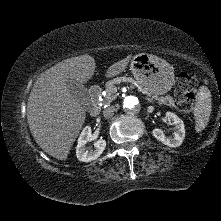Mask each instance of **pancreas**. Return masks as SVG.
<instances>
[{
	"label": "pancreas",
	"instance_id": "cf45deb5",
	"mask_svg": "<svg viewBox=\"0 0 221 221\" xmlns=\"http://www.w3.org/2000/svg\"><path fill=\"white\" fill-rule=\"evenodd\" d=\"M122 82L131 83L132 87L136 86L140 92L148 96V99L150 101H155L159 104H165L170 107H175V101L171 96H161V97L151 96V93H149L146 89L140 86L133 78L125 76L114 78L106 83L105 102L107 104L111 103L113 100L116 99L117 86L120 85V83Z\"/></svg>",
	"mask_w": 221,
	"mask_h": 221
}]
</instances>
